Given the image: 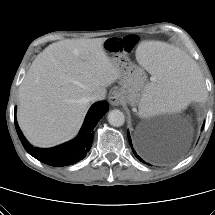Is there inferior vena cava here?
<instances>
[{"instance_id":"602c4592","label":"inferior vena cava","mask_w":215,"mask_h":215,"mask_svg":"<svg viewBox=\"0 0 215 215\" xmlns=\"http://www.w3.org/2000/svg\"><path fill=\"white\" fill-rule=\"evenodd\" d=\"M106 93L105 92H96L90 97V101H100L105 98Z\"/></svg>"}]
</instances>
